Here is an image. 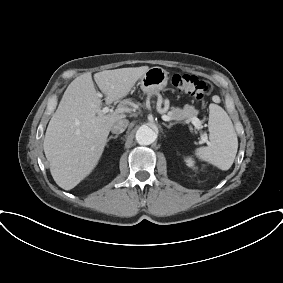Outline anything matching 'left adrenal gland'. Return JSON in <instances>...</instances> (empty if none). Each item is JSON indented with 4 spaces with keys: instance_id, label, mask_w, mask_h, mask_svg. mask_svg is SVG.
I'll use <instances>...</instances> for the list:
<instances>
[{
    "instance_id": "left-adrenal-gland-1",
    "label": "left adrenal gland",
    "mask_w": 283,
    "mask_h": 283,
    "mask_svg": "<svg viewBox=\"0 0 283 283\" xmlns=\"http://www.w3.org/2000/svg\"><path fill=\"white\" fill-rule=\"evenodd\" d=\"M177 123L178 122L169 123L168 125L164 124V126L167 127V128H171L173 125H176Z\"/></svg>"
}]
</instances>
